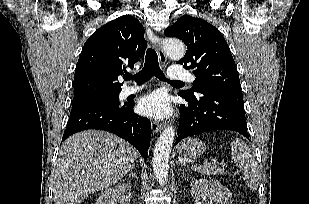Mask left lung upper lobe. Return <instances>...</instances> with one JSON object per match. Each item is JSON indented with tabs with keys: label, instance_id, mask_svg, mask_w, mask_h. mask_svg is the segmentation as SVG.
I'll list each match as a JSON object with an SVG mask.
<instances>
[{
	"label": "left lung upper lobe",
	"instance_id": "left-lung-upper-lobe-1",
	"mask_svg": "<svg viewBox=\"0 0 309 204\" xmlns=\"http://www.w3.org/2000/svg\"><path fill=\"white\" fill-rule=\"evenodd\" d=\"M164 34L179 38L185 43L186 54L177 63L184 64L186 69H192L196 76L192 89L180 91L179 94L191 97L195 96L194 92L204 90L241 92L237 67L217 28L201 18L183 15Z\"/></svg>",
	"mask_w": 309,
	"mask_h": 204
}]
</instances>
